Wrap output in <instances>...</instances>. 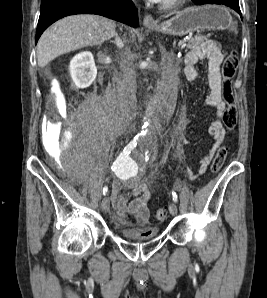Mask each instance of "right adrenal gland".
<instances>
[{
    "label": "right adrenal gland",
    "instance_id": "right-adrenal-gland-1",
    "mask_svg": "<svg viewBox=\"0 0 267 298\" xmlns=\"http://www.w3.org/2000/svg\"><path fill=\"white\" fill-rule=\"evenodd\" d=\"M110 42L114 43L118 49H121L124 46V41H122L118 33H115V40H110Z\"/></svg>",
    "mask_w": 267,
    "mask_h": 298
}]
</instances>
